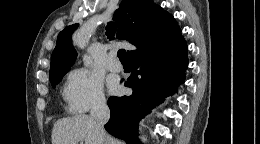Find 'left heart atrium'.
<instances>
[{
	"label": "left heart atrium",
	"mask_w": 260,
	"mask_h": 144,
	"mask_svg": "<svg viewBox=\"0 0 260 144\" xmlns=\"http://www.w3.org/2000/svg\"><path fill=\"white\" fill-rule=\"evenodd\" d=\"M116 88H117L116 83L113 82V81H111V82H110V89H111V90H115Z\"/></svg>",
	"instance_id": "obj_1"
}]
</instances>
